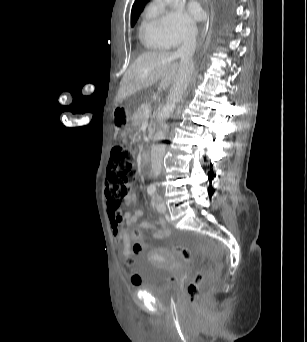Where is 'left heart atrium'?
Wrapping results in <instances>:
<instances>
[{
    "mask_svg": "<svg viewBox=\"0 0 307 342\" xmlns=\"http://www.w3.org/2000/svg\"><path fill=\"white\" fill-rule=\"evenodd\" d=\"M184 16L188 25L190 26L195 25V23L201 19V16H202L201 8L197 5H190L188 9L186 10Z\"/></svg>",
    "mask_w": 307,
    "mask_h": 342,
    "instance_id": "obj_1",
    "label": "left heart atrium"
}]
</instances>
